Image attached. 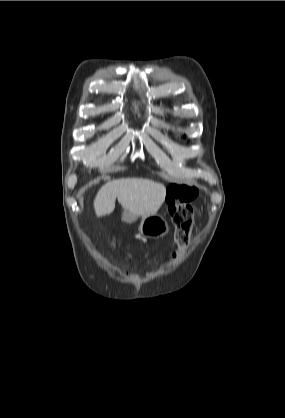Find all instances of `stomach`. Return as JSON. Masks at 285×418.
Instances as JSON below:
<instances>
[{
  "label": "stomach",
  "mask_w": 285,
  "mask_h": 418,
  "mask_svg": "<svg viewBox=\"0 0 285 418\" xmlns=\"http://www.w3.org/2000/svg\"><path fill=\"white\" fill-rule=\"evenodd\" d=\"M122 219L126 223H132L135 221V216L125 211ZM139 230L145 238H156L164 236L168 232V225L162 215L155 213L142 218Z\"/></svg>",
  "instance_id": "0dacf381"
}]
</instances>
